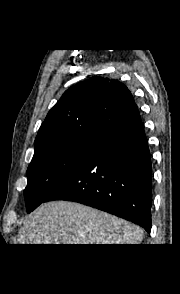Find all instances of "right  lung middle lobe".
<instances>
[{
	"label": "right lung middle lobe",
	"instance_id": "1",
	"mask_svg": "<svg viewBox=\"0 0 180 294\" xmlns=\"http://www.w3.org/2000/svg\"><path fill=\"white\" fill-rule=\"evenodd\" d=\"M98 141L74 139L44 148L34 154L27 170L24 190L27 212L45 202L80 166Z\"/></svg>",
	"mask_w": 180,
	"mask_h": 294
}]
</instances>
